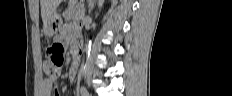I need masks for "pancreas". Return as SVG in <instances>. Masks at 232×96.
Here are the masks:
<instances>
[{"mask_svg": "<svg viewBox=\"0 0 232 96\" xmlns=\"http://www.w3.org/2000/svg\"><path fill=\"white\" fill-rule=\"evenodd\" d=\"M83 14L82 9L79 6L69 5V8L63 14L65 20H78L79 17Z\"/></svg>", "mask_w": 232, "mask_h": 96, "instance_id": "1", "label": "pancreas"}]
</instances>
